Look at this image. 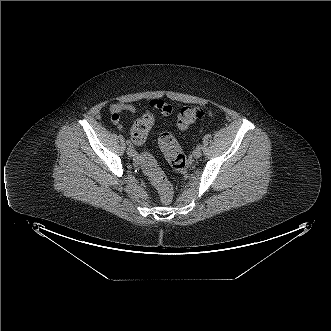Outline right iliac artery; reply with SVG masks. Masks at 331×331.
<instances>
[{
  "mask_svg": "<svg viewBox=\"0 0 331 331\" xmlns=\"http://www.w3.org/2000/svg\"><path fill=\"white\" fill-rule=\"evenodd\" d=\"M126 143H127L128 146H131L132 145V143H131L130 140H127Z\"/></svg>",
  "mask_w": 331,
  "mask_h": 331,
  "instance_id": "right-iliac-artery-1",
  "label": "right iliac artery"
}]
</instances>
